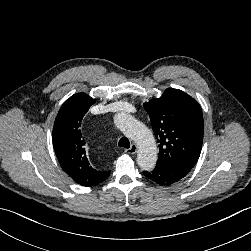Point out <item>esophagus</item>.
<instances>
[{
	"label": "esophagus",
	"instance_id": "esophagus-1",
	"mask_svg": "<svg viewBox=\"0 0 251 251\" xmlns=\"http://www.w3.org/2000/svg\"><path fill=\"white\" fill-rule=\"evenodd\" d=\"M138 151V147L136 144H132L129 149H126L128 154H135Z\"/></svg>",
	"mask_w": 251,
	"mask_h": 251
}]
</instances>
